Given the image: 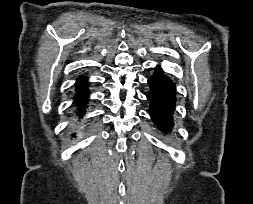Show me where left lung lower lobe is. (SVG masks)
Masks as SVG:
<instances>
[{"instance_id": "left-lung-lower-lobe-1", "label": "left lung lower lobe", "mask_w": 253, "mask_h": 204, "mask_svg": "<svg viewBox=\"0 0 253 204\" xmlns=\"http://www.w3.org/2000/svg\"><path fill=\"white\" fill-rule=\"evenodd\" d=\"M148 84L151 88L147 97L151 119L160 130L170 132L174 126L172 114L176 102L175 83L163 73L161 67H157Z\"/></svg>"}]
</instances>
